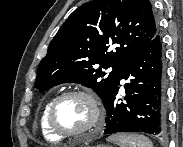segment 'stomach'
I'll return each mask as SVG.
<instances>
[{
	"label": "stomach",
	"mask_w": 183,
	"mask_h": 147,
	"mask_svg": "<svg viewBox=\"0 0 183 147\" xmlns=\"http://www.w3.org/2000/svg\"><path fill=\"white\" fill-rule=\"evenodd\" d=\"M96 147H109V146H106V145H97Z\"/></svg>",
	"instance_id": "1"
}]
</instances>
